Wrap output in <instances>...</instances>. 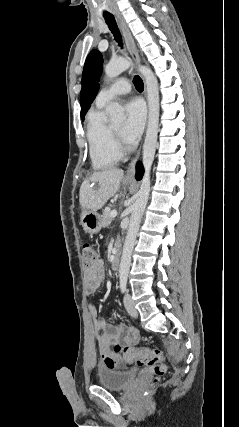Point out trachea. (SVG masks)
<instances>
[{"instance_id":"3493384b","label":"trachea","mask_w":239,"mask_h":427,"mask_svg":"<svg viewBox=\"0 0 239 427\" xmlns=\"http://www.w3.org/2000/svg\"><path fill=\"white\" fill-rule=\"evenodd\" d=\"M104 18H105V22L107 23L109 29L111 30V32L113 34L115 40L119 43V46H122V38H121V35H120L119 29L117 27L114 16L113 15H105ZM133 82H134V85L138 91H143L144 84H143L142 79L138 75L134 76Z\"/></svg>"}]
</instances>
